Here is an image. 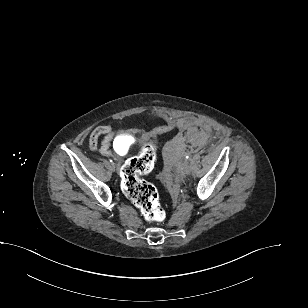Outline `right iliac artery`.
Returning a JSON list of instances; mask_svg holds the SVG:
<instances>
[{"label": "right iliac artery", "instance_id": "right-iliac-artery-1", "mask_svg": "<svg viewBox=\"0 0 308 308\" xmlns=\"http://www.w3.org/2000/svg\"><path fill=\"white\" fill-rule=\"evenodd\" d=\"M109 161H110L111 163L113 162V160H112V159H110Z\"/></svg>", "mask_w": 308, "mask_h": 308}]
</instances>
